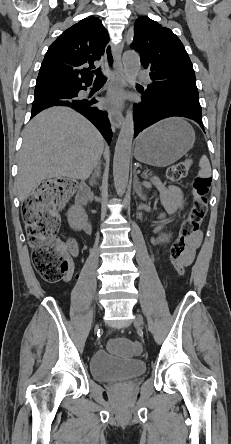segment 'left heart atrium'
Returning a JSON list of instances; mask_svg holds the SVG:
<instances>
[{
	"instance_id": "1",
	"label": "left heart atrium",
	"mask_w": 231,
	"mask_h": 444,
	"mask_svg": "<svg viewBox=\"0 0 231 444\" xmlns=\"http://www.w3.org/2000/svg\"><path fill=\"white\" fill-rule=\"evenodd\" d=\"M107 101L112 105L119 106L123 101V94L116 91L110 95Z\"/></svg>"
}]
</instances>
